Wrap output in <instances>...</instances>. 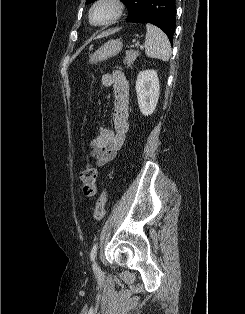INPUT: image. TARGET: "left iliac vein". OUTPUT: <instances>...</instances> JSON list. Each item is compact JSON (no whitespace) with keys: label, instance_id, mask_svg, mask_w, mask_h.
Here are the masks:
<instances>
[{"label":"left iliac vein","instance_id":"obj_1","mask_svg":"<svg viewBox=\"0 0 245 314\" xmlns=\"http://www.w3.org/2000/svg\"><path fill=\"white\" fill-rule=\"evenodd\" d=\"M96 270H97V272H100L101 270H100V267H96Z\"/></svg>","mask_w":245,"mask_h":314}]
</instances>
